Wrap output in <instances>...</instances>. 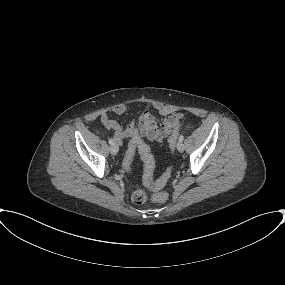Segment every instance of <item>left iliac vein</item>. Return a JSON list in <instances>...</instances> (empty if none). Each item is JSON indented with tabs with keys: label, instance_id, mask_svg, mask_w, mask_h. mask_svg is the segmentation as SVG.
I'll list each match as a JSON object with an SVG mask.
<instances>
[{
	"label": "left iliac vein",
	"instance_id": "1",
	"mask_svg": "<svg viewBox=\"0 0 285 285\" xmlns=\"http://www.w3.org/2000/svg\"><path fill=\"white\" fill-rule=\"evenodd\" d=\"M176 147H177V150L179 152H183L184 151V144L181 141H178Z\"/></svg>",
	"mask_w": 285,
	"mask_h": 285
}]
</instances>
